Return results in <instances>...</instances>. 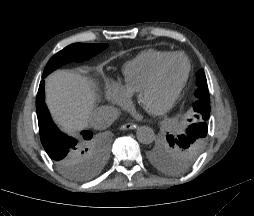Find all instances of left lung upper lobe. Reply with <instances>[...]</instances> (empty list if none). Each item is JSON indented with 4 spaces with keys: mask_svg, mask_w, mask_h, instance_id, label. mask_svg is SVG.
<instances>
[{
    "mask_svg": "<svg viewBox=\"0 0 254 216\" xmlns=\"http://www.w3.org/2000/svg\"><path fill=\"white\" fill-rule=\"evenodd\" d=\"M197 86L195 96L198 100L193 104V108L196 112L195 118L203 122L188 126L185 133L181 135L168 134L163 144L149 152L151 163L164 172L179 173L187 169L198 156L203 138L206 137L210 96L203 70L197 75Z\"/></svg>",
    "mask_w": 254,
    "mask_h": 216,
    "instance_id": "left-lung-upper-lobe-1",
    "label": "left lung upper lobe"
}]
</instances>
